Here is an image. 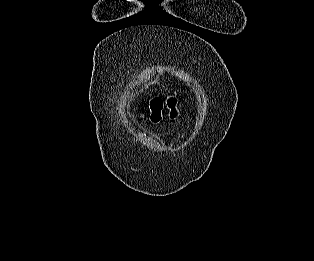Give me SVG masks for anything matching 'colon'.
Returning a JSON list of instances; mask_svg holds the SVG:
<instances>
[{
	"label": "colon",
	"mask_w": 314,
	"mask_h": 261,
	"mask_svg": "<svg viewBox=\"0 0 314 261\" xmlns=\"http://www.w3.org/2000/svg\"><path fill=\"white\" fill-rule=\"evenodd\" d=\"M175 99L172 97L170 98L167 103L168 105H172L174 103ZM150 107L152 109V117L154 121H159L160 120V110L163 107V100L160 97H154L150 101Z\"/></svg>",
	"instance_id": "1"
}]
</instances>
